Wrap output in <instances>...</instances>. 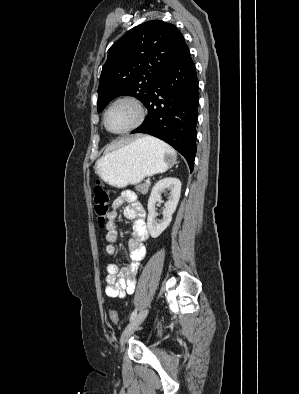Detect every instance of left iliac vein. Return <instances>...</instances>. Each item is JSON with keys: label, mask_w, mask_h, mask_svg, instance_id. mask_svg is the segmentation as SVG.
<instances>
[{"label": "left iliac vein", "mask_w": 299, "mask_h": 394, "mask_svg": "<svg viewBox=\"0 0 299 394\" xmlns=\"http://www.w3.org/2000/svg\"><path fill=\"white\" fill-rule=\"evenodd\" d=\"M148 314V309L142 310L136 317L124 329L120 339V349H123L124 344L127 342L129 337L136 331L139 325L144 321Z\"/></svg>", "instance_id": "left-iliac-vein-1"}]
</instances>
